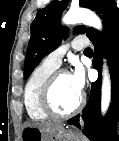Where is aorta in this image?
Segmentation results:
<instances>
[{
	"mask_svg": "<svg viewBox=\"0 0 119 141\" xmlns=\"http://www.w3.org/2000/svg\"><path fill=\"white\" fill-rule=\"evenodd\" d=\"M63 23L67 25L83 23L98 30L102 29L100 18L88 9H71L63 17ZM111 100V82L106 64L103 65L102 95H101V111L104 114Z\"/></svg>",
	"mask_w": 119,
	"mask_h": 141,
	"instance_id": "aorta-1",
	"label": "aorta"
}]
</instances>
